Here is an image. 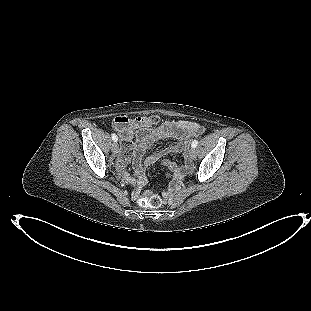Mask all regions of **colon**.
I'll return each instance as SVG.
<instances>
[{"label": "colon", "mask_w": 311, "mask_h": 311, "mask_svg": "<svg viewBox=\"0 0 311 311\" xmlns=\"http://www.w3.org/2000/svg\"><path fill=\"white\" fill-rule=\"evenodd\" d=\"M159 121L158 117L151 116L146 119V122L148 124H157ZM139 204L142 206L150 207V208H157L162 204V198L154 193V192H148L143 197L139 198Z\"/></svg>", "instance_id": "obj_1"}]
</instances>
